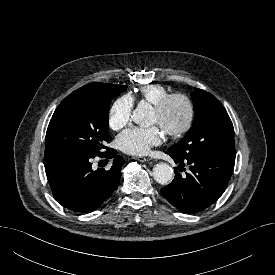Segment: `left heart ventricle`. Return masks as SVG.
I'll return each mask as SVG.
<instances>
[{
    "instance_id": "obj_1",
    "label": "left heart ventricle",
    "mask_w": 275,
    "mask_h": 275,
    "mask_svg": "<svg viewBox=\"0 0 275 275\" xmlns=\"http://www.w3.org/2000/svg\"><path fill=\"white\" fill-rule=\"evenodd\" d=\"M186 116L185 105L181 101H174L164 115L153 110L151 123L162 127L176 128L182 125Z\"/></svg>"
}]
</instances>
